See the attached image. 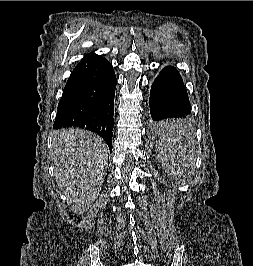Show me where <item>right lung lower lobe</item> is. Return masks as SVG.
I'll use <instances>...</instances> for the list:
<instances>
[{
  "instance_id": "1",
  "label": "right lung lower lobe",
  "mask_w": 253,
  "mask_h": 266,
  "mask_svg": "<svg viewBox=\"0 0 253 266\" xmlns=\"http://www.w3.org/2000/svg\"><path fill=\"white\" fill-rule=\"evenodd\" d=\"M115 88L112 64L95 53L86 55L65 85L53 128L88 129L99 134L111 151Z\"/></svg>"
}]
</instances>
